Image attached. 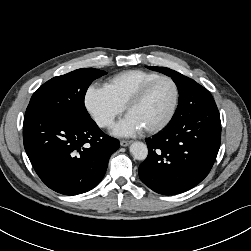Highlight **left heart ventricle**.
Instances as JSON below:
<instances>
[{
  "label": "left heart ventricle",
  "instance_id": "1",
  "mask_svg": "<svg viewBox=\"0 0 251 251\" xmlns=\"http://www.w3.org/2000/svg\"><path fill=\"white\" fill-rule=\"evenodd\" d=\"M174 89L167 80H161L151 87L144 99L130 109L128 115L146 130L161 123L173 104Z\"/></svg>",
  "mask_w": 251,
  "mask_h": 251
}]
</instances>
